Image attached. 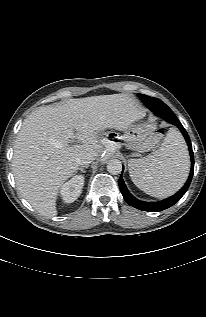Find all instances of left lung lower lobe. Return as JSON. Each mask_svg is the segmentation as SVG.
<instances>
[{"mask_svg":"<svg viewBox=\"0 0 206 317\" xmlns=\"http://www.w3.org/2000/svg\"><path fill=\"white\" fill-rule=\"evenodd\" d=\"M148 103V108L154 112L157 116L163 118L164 120H166L167 122L176 125L180 131L182 132L188 148H189V153H190V157H191V171L189 174V178L187 180V182L185 183V185L181 188L180 191H178L175 195L171 196L168 199H165L163 201L160 202H154V203H148V202H143L140 201L138 199H136L127 189L122 176H120L119 178V187H120V191L125 199V201L132 207L139 209V210H143V211H148V212H159L162 210H165L171 206H173L175 203H177L181 197L186 193V191L188 190V187L190 185L191 179L193 177V171H194V155H193V151H192V146H191V142H190V138L186 132V130L183 128V126L181 125V123L179 122V120L177 119V117L174 115V113L172 112V110L169 107H162L160 105H157L155 103L147 102Z\"/></svg>","mask_w":206,"mask_h":317,"instance_id":"1","label":"left lung lower lobe"}]
</instances>
